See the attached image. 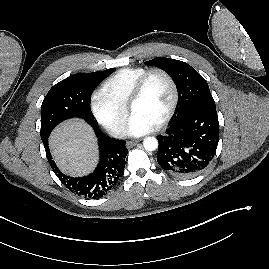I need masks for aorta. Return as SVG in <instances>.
<instances>
[{"label":"aorta","instance_id":"aorta-1","mask_svg":"<svg viewBox=\"0 0 269 269\" xmlns=\"http://www.w3.org/2000/svg\"><path fill=\"white\" fill-rule=\"evenodd\" d=\"M143 146L147 151H154L158 147V141L155 137H147L143 141Z\"/></svg>","mask_w":269,"mask_h":269}]
</instances>
